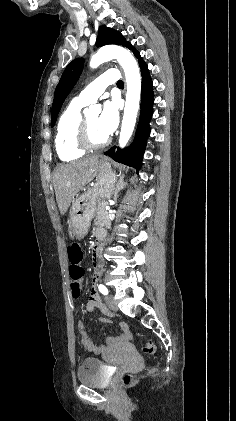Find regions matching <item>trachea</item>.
Listing matches in <instances>:
<instances>
[{
    "label": "trachea",
    "instance_id": "trachea-1",
    "mask_svg": "<svg viewBox=\"0 0 236 421\" xmlns=\"http://www.w3.org/2000/svg\"><path fill=\"white\" fill-rule=\"evenodd\" d=\"M117 86H118V87H123V86H124L123 81H122V80H118V82H117Z\"/></svg>",
    "mask_w": 236,
    "mask_h": 421
}]
</instances>
